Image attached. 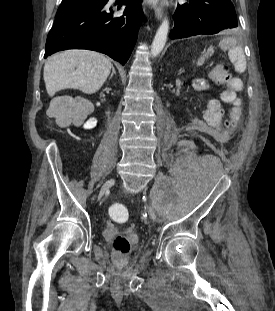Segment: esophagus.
I'll list each match as a JSON object with an SVG mask.
<instances>
[{
  "mask_svg": "<svg viewBox=\"0 0 275 311\" xmlns=\"http://www.w3.org/2000/svg\"><path fill=\"white\" fill-rule=\"evenodd\" d=\"M165 5H166L165 0H160L155 6V16L157 19H161L163 17Z\"/></svg>",
  "mask_w": 275,
  "mask_h": 311,
  "instance_id": "esophagus-1",
  "label": "esophagus"
}]
</instances>
